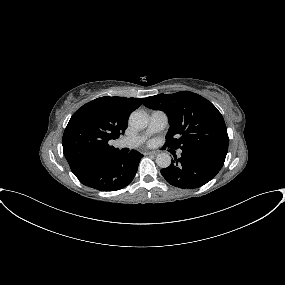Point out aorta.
<instances>
[{
	"label": "aorta",
	"instance_id": "1",
	"mask_svg": "<svg viewBox=\"0 0 285 285\" xmlns=\"http://www.w3.org/2000/svg\"><path fill=\"white\" fill-rule=\"evenodd\" d=\"M148 117L146 113L141 111H134L129 116V125L137 130H142L147 127ZM156 164L160 168H167L171 164V157L167 153H160L156 157Z\"/></svg>",
	"mask_w": 285,
	"mask_h": 285
}]
</instances>
